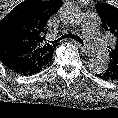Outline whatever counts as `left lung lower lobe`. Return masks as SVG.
<instances>
[{"instance_id":"obj_1","label":"left lung lower lobe","mask_w":118,"mask_h":118,"mask_svg":"<svg viewBox=\"0 0 118 118\" xmlns=\"http://www.w3.org/2000/svg\"><path fill=\"white\" fill-rule=\"evenodd\" d=\"M100 78H102L103 80H107V79H105V77L104 76H102L101 74L100 75H98Z\"/></svg>"}]
</instances>
